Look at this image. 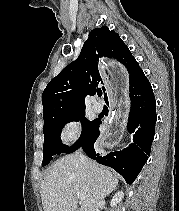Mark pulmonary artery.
I'll use <instances>...</instances> for the list:
<instances>
[{"mask_svg":"<svg viewBox=\"0 0 179 211\" xmlns=\"http://www.w3.org/2000/svg\"><path fill=\"white\" fill-rule=\"evenodd\" d=\"M93 109L95 112L99 113L103 110V106L99 101L94 100L93 101Z\"/></svg>","mask_w":179,"mask_h":211,"instance_id":"e3ab8cb5","label":"pulmonary artery"}]
</instances>
